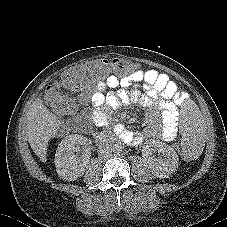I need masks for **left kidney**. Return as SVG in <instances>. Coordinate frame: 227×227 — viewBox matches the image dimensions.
<instances>
[{
	"label": "left kidney",
	"mask_w": 227,
	"mask_h": 227,
	"mask_svg": "<svg viewBox=\"0 0 227 227\" xmlns=\"http://www.w3.org/2000/svg\"><path fill=\"white\" fill-rule=\"evenodd\" d=\"M155 151L159 154L157 158L153 156ZM142 154L148 168L158 178H167L177 170L179 163L177 153L172 147L159 140L147 141Z\"/></svg>",
	"instance_id": "1"
}]
</instances>
